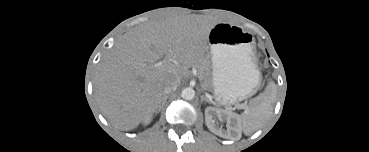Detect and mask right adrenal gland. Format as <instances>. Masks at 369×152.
Wrapping results in <instances>:
<instances>
[{
    "instance_id": "1",
    "label": "right adrenal gland",
    "mask_w": 369,
    "mask_h": 152,
    "mask_svg": "<svg viewBox=\"0 0 369 152\" xmlns=\"http://www.w3.org/2000/svg\"><path fill=\"white\" fill-rule=\"evenodd\" d=\"M167 99H168V96L167 95H165L164 97H162V101H161V103L158 105V107L156 109L157 111H160V109L165 105Z\"/></svg>"
}]
</instances>
